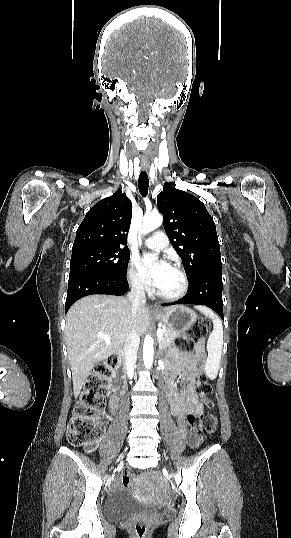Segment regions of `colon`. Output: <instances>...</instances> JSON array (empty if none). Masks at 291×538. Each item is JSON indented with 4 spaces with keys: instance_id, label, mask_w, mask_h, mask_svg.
Returning a JSON list of instances; mask_svg holds the SVG:
<instances>
[{
    "instance_id": "5ec220e1",
    "label": "colon",
    "mask_w": 291,
    "mask_h": 538,
    "mask_svg": "<svg viewBox=\"0 0 291 538\" xmlns=\"http://www.w3.org/2000/svg\"><path fill=\"white\" fill-rule=\"evenodd\" d=\"M209 325L206 318L200 319L175 340L176 346L183 352L192 353L196 341L207 332ZM117 356L116 354L111 355L90 372L68 424L66 437L71 445L93 448L98 442L102 434L100 414L105 406L106 384L115 372L114 365L118 364ZM194 380L201 400L208 408H212L213 403L210 400L212 386L206 376L203 373H198ZM188 422L192 432L200 436L213 434L217 428V417L211 411H207L199 417L189 415ZM131 479V474L125 472L122 477L124 487L129 486ZM147 531V524L144 521L135 522L133 532L136 538H145Z\"/></svg>"
}]
</instances>
